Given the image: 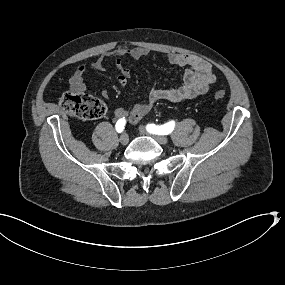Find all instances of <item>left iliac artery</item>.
<instances>
[{
	"instance_id": "obj_1",
	"label": "left iliac artery",
	"mask_w": 285,
	"mask_h": 285,
	"mask_svg": "<svg viewBox=\"0 0 285 285\" xmlns=\"http://www.w3.org/2000/svg\"><path fill=\"white\" fill-rule=\"evenodd\" d=\"M174 127H175L174 121H170L160 126L155 124H148L147 131L158 135H168L174 130Z\"/></svg>"
}]
</instances>
